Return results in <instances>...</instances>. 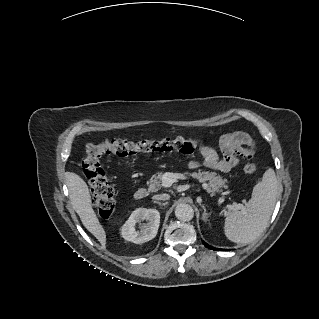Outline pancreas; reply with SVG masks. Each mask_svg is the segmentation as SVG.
<instances>
[{"mask_svg":"<svg viewBox=\"0 0 319 319\" xmlns=\"http://www.w3.org/2000/svg\"><path fill=\"white\" fill-rule=\"evenodd\" d=\"M163 173L157 172L156 174L152 175L150 178V191H156L159 189L161 185ZM191 176L197 179L199 182L208 181L209 189L208 191L212 194L216 192H220L221 188H228V181L227 179L223 178L222 175L217 174L216 172H209V171H199L198 173H192Z\"/></svg>","mask_w":319,"mask_h":319,"instance_id":"pancreas-1","label":"pancreas"}]
</instances>
